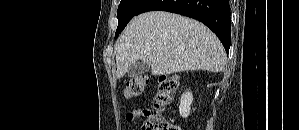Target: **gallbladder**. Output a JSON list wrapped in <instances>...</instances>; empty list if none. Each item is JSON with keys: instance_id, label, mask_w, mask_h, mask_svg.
<instances>
[{"instance_id": "1", "label": "gallbladder", "mask_w": 299, "mask_h": 130, "mask_svg": "<svg viewBox=\"0 0 299 130\" xmlns=\"http://www.w3.org/2000/svg\"><path fill=\"white\" fill-rule=\"evenodd\" d=\"M149 69L150 65L148 63L138 60L131 64L127 70V74L129 77L134 78L148 72Z\"/></svg>"}]
</instances>
